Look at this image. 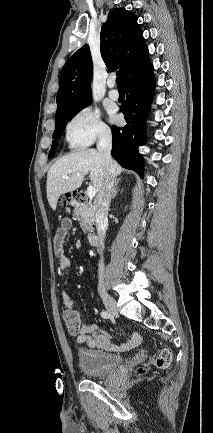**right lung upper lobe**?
I'll use <instances>...</instances> for the list:
<instances>
[{"label":"right lung upper lobe","instance_id":"obj_1","mask_svg":"<svg viewBox=\"0 0 213 433\" xmlns=\"http://www.w3.org/2000/svg\"><path fill=\"white\" fill-rule=\"evenodd\" d=\"M100 39L101 55L108 70L119 69L123 83L149 60L137 16L124 8L110 11L101 27ZM92 67L88 45L77 50L64 65L56 98V119L65 111L92 100Z\"/></svg>","mask_w":213,"mask_h":433}]
</instances>
